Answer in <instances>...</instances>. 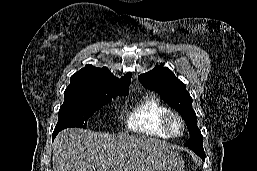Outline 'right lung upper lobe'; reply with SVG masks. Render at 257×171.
<instances>
[{
	"instance_id": "cb5924a9",
	"label": "right lung upper lobe",
	"mask_w": 257,
	"mask_h": 171,
	"mask_svg": "<svg viewBox=\"0 0 257 171\" xmlns=\"http://www.w3.org/2000/svg\"><path fill=\"white\" fill-rule=\"evenodd\" d=\"M131 76V73H127L118 79L106 67L97 68L86 65L71 76L67 88L99 89L118 94H128Z\"/></svg>"
}]
</instances>
